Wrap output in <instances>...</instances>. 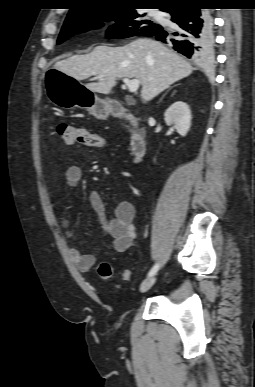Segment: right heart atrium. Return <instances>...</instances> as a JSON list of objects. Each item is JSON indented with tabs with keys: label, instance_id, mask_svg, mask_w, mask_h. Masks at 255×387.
I'll list each match as a JSON object with an SVG mask.
<instances>
[{
	"label": "right heart atrium",
	"instance_id": "right-heart-atrium-1",
	"mask_svg": "<svg viewBox=\"0 0 255 387\" xmlns=\"http://www.w3.org/2000/svg\"><path fill=\"white\" fill-rule=\"evenodd\" d=\"M118 24H117V21H115V20H112L110 23H109V27H111V28H114V27H116Z\"/></svg>",
	"mask_w": 255,
	"mask_h": 387
}]
</instances>
